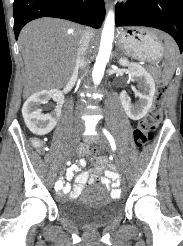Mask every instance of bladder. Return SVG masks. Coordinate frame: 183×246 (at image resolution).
Segmentation results:
<instances>
[{
    "label": "bladder",
    "instance_id": "31cf9c89",
    "mask_svg": "<svg viewBox=\"0 0 183 246\" xmlns=\"http://www.w3.org/2000/svg\"><path fill=\"white\" fill-rule=\"evenodd\" d=\"M122 205L101 186H91L79 198L61 203L62 216L80 226H100L120 214Z\"/></svg>",
    "mask_w": 183,
    "mask_h": 246
}]
</instances>
